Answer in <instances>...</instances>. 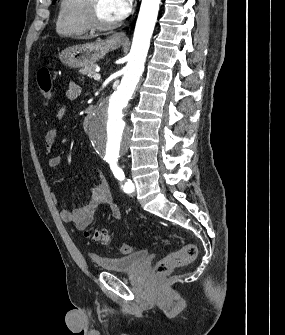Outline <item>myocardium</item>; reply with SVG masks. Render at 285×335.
<instances>
[{"instance_id": "obj_1", "label": "myocardium", "mask_w": 285, "mask_h": 335, "mask_svg": "<svg viewBox=\"0 0 285 335\" xmlns=\"http://www.w3.org/2000/svg\"><path fill=\"white\" fill-rule=\"evenodd\" d=\"M88 25L92 32H107L115 27V23L106 24L99 20L97 1H88Z\"/></svg>"}]
</instances>
